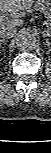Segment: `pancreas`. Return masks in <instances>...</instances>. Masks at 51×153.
<instances>
[{"instance_id": "obj_1", "label": "pancreas", "mask_w": 51, "mask_h": 153, "mask_svg": "<svg viewBox=\"0 0 51 153\" xmlns=\"http://www.w3.org/2000/svg\"><path fill=\"white\" fill-rule=\"evenodd\" d=\"M37 11L42 12L45 16H50L51 14V3L47 0H37L33 6Z\"/></svg>"}]
</instances>
